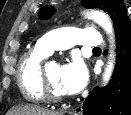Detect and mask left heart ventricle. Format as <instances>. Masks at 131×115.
<instances>
[{
    "instance_id": "obj_1",
    "label": "left heart ventricle",
    "mask_w": 131,
    "mask_h": 115,
    "mask_svg": "<svg viewBox=\"0 0 131 115\" xmlns=\"http://www.w3.org/2000/svg\"><path fill=\"white\" fill-rule=\"evenodd\" d=\"M60 67L57 64H52L46 67V77L51 91L56 95H62L59 84Z\"/></svg>"
}]
</instances>
